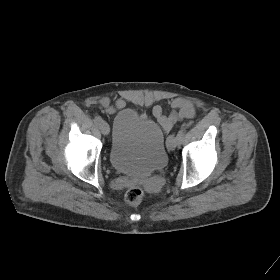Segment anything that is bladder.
Listing matches in <instances>:
<instances>
[{
  "label": "bladder",
  "instance_id": "bladder-1",
  "mask_svg": "<svg viewBox=\"0 0 280 280\" xmlns=\"http://www.w3.org/2000/svg\"><path fill=\"white\" fill-rule=\"evenodd\" d=\"M109 160L115 170L131 177H147L168 161L165 132L155 120L123 109L113 121Z\"/></svg>",
  "mask_w": 280,
  "mask_h": 280
}]
</instances>
